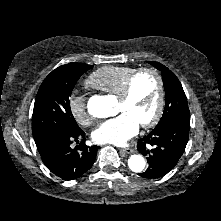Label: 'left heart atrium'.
<instances>
[{
  "label": "left heart atrium",
  "instance_id": "1",
  "mask_svg": "<svg viewBox=\"0 0 221 221\" xmlns=\"http://www.w3.org/2000/svg\"><path fill=\"white\" fill-rule=\"evenodd\" d=\"M139 125L134 117L124 112L101 123L93 131L92 137L98 143L123 145L137 134Z\"/></svg>",
  "mask_w": 221,
  "mask_h": 221
}]
</instances>
